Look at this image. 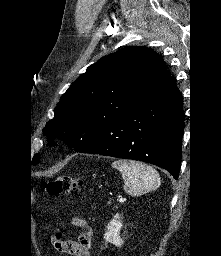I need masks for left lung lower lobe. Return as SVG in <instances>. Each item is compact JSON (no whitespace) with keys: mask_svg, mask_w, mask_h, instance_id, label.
<instances>
[{"mask_svg":"<svg viewBox=\"0 0 221 256\" xmlns=\"http://www.w3.org/2000/svg\"><path fill=\"white\" fill-rule=\"evenodd\" d=\"M184 112L174 79L153 91L133 110L109 122L76 152L140 160L178 179Z\"/></svg>","mask_w":221,"mask_h":256,"instance_id":"obj_1","label":"left lung lower lobe"}]
</instances>
